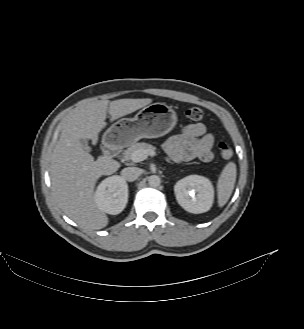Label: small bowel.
I'll use <instances>...</instances> for the list:
<instances>
[{"label":"small bowel","mask_w":304,"mask_h":329,"mask_svg":"<svg viewBox=\"0 0 304 329\" xmlns=\"http://www.w3.org/2000/svg\"><path fill=\"white\" fill-rule=\"evenodd\" d=\"M214 136L207 132L203 123L190 124L165 143V150L175 163L199 159L211 162L214 159Z\"/></svg>","instance_id":"obj_1"}]
</instances>
